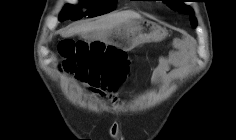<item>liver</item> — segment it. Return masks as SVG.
Returning a JSON list of instances; mask_svg holds the SVG:
<instances>
[{"instance_id":"1","label":"liver","mask_w":236,"mask_h":140,"mask_svg":"<svg viewBox=\"0 0 236 140\" xmlns=\"http://www.w3.org/2000/svg\"><path fill=\"white\" fill-rule=\"evenodd\" d=\"M135 12H119L102 17L95 22L83 23L61 31L62 37H71L77 34L93 33L98 39L106 40L115 29L131 18H140Z\"/></svg>"}]
</instances>
